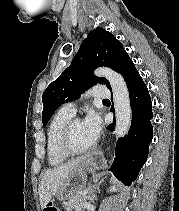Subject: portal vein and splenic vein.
<instances>
[{
  "instance_id": "1",
  "label": "portal vein and splenic vein",
  "mask_w": 179,
  "mask_h": 211,
  "mask_svg": "<svg viewBox=\"0 0 179 211\" xmlns=\"http://www.w3.org/2000/svg\"><path fill=\"white\" fill-rule=\"evenodd\" d=\"M88 193V190H85L82 192V194L86 195Z\"/></svg>"
}]
</instances>
